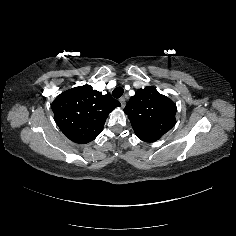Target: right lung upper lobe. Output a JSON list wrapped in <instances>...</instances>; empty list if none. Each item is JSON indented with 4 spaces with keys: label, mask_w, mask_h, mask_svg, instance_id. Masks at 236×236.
<instances>
[{
    "label": "right lung upper lobe",
    "mask_w": 236,
    "mask_h": 236,
    "mask_svg": "<svg viewBox=\"0 0 236 236\" xmlns=\"http://www.w3.org/2000/svg\"><path fill=\"white\" fill-rule=\"evenodd\" d=\"M120 102L110 94L102 95L90 85L69 89L53 101L54 118L64 135L71 141L86 144L103 130L108 114Z\"/></svg>",
    "instance_id": "obj_1"
}]
</instances>
